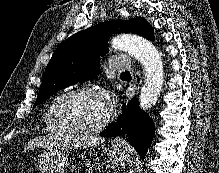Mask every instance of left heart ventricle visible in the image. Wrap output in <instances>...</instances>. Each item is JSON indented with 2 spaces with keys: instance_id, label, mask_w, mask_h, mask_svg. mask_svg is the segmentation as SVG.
Listing matches in <instances>:
<instances>
[{
  "instance_id": "1",
  "label": "left heart ventricle",
  "mask_w": 219,
  "mask_h": 173,
  "mask_svg": "<svg viewBox=\"0 0 219 173\" xmlns=\"http://www.w3.org/2000/svg\"><path fill=\"white\" fill-rule=\"evenodd\" d=\"M108 107L102 96L85 93L73 97L66 108L69 123L78 128H90L99 124L107 115Z\"/></svg>"
}]
</instances>
